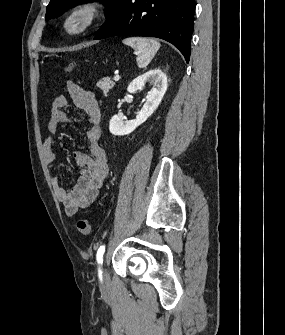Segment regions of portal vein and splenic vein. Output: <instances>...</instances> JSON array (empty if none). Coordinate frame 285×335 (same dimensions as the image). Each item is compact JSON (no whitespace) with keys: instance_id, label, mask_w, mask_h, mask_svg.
I'll return each instance as SVG.
<instances>
[{"instance_id":"18ae733b","label":"portal vein and splenic vein","mask_w":285,"mask_h":335,"mask_svg":"<svg viewBox=\"0 0 285 335\" xmlns=\"http://www.w3.org/2000/svg\"><path fill=\"white\" fill-rule=\"evenodd\" d=\"M114 80H115V82H118V80H120V76H118V74H115Z\"/></svg>"}]
</instances>
